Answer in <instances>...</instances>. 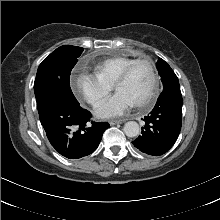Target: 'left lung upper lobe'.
Masks as SVG:
<instances>
[{
  "label": "left lung upper lobe",
  "mask_w": 220,
  "mask_h": 220,
  "mask_svg": "<svg viewBox=\"0 0 220 220\" xmlns=\"http://www.w3.org/2000/svg\"><path fill=\"white\" fill-rule=\"evenodd\" d=\"M156 67L163 83V90L180 87L177 76L167 62L159 58Z\"/></svg>",
  "instance_id": "1"
}]
</instances>
